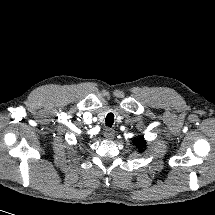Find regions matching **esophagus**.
<instances>
[{"label": "esophagus", "instance_id": "1", "mask_svg": "<svg viewBox=\"0 0 215 215\" xmlns=\"http://www.w3.org/2000/svg\"><path fill=\"white\" fill-rule=\"evenodd\" d=\"M104 136L107 139H113L115 136V131L113 129L108 128L105 130Z\"/></svg>", "mask_w": 215, "mask_h": 215}]
</instances>
